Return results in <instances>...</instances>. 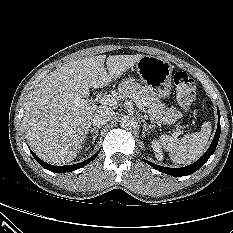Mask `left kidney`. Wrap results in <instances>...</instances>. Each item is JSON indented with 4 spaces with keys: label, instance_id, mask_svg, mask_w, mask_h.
Wrapping results in <instances>:
<instances>
[{
    "label": "left kidney",
    "instance_id": "1",
    "mask_svg": "<svg viewBox=\"0 0 233 233\" xmlns=\"http://www.w3.org/2000/svg\"><path fill=\"white\" fill-rule=\"evenodd\" d=\"M151 147H152V149H153L154 152H155L156 158H157L159 161H160V160H163V153H162L161 147H160L159 143H158L156 140H153V141H152Z\"/></svg>",
    "mask_w": 233,
    "mask_h": 233
}]
</instances>
